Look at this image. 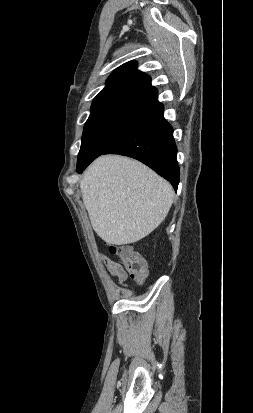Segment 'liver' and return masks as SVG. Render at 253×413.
Segmentation results:
<instances>
[{
	"label": "liver",
	"mask_w": 253,
	"mask_h": 413,
	"mask_svg": "<svg viewBox=\"0 0 253 413\" xmlns=\"http://www.w3.org/2000/svg\"><path fill=\"white\" fill-rule=\"evenodd\" d=\"M80 189L92 227L113 245L135 243L166 218L174 198L169 182L128 157L105 155L85 171Z\"/></svg>",
	"instance_id": "6515ba94"
}]
</instances>
